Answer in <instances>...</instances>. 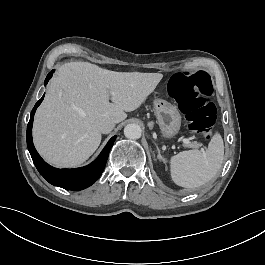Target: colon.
Segmentation results:
<instances>
[{
  "mask_svg": "<svg viewBox=\"0 0 265 265\" xmlns=\"http://www.w3.org/2000/svg\"><path fill=\"white\" fill-rule=\"evenodd\" d=\"M169 90L180 101L189 130L204 139H210L216 114L210 78L200 71L180 72L171 78Z\"/></svg>",
  "mask_w": 265,
  "mask_h": 265,
  "instance_id": "colon-1",
  "label": "colon"
}]
</instances>
